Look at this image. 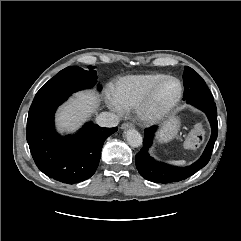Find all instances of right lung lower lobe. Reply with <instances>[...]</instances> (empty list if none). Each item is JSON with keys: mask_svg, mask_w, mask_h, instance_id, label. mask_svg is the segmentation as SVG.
<instances>
[{"mask_svg": "<svg viewBox=\"0 0 241 241\" xmlns=\"http://www.w3.org/2000/svg\"><path fill=\"white\" fill-rule=\"evenodd\" d=\"M69 96L33 102L29 109L26 136L37 167L50 178L74 184L94 174L104 141L118 129L88 122L74 135H58L54 127V113Z\"/></svg>", "mask_w": 241, "mask_h": 241, "instance_id": "1", "label": "right lung lower lobe"}]
</instances>
